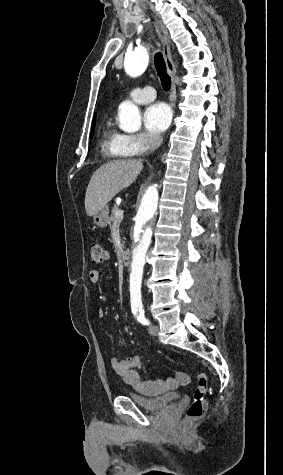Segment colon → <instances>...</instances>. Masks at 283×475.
<instances>
[{
  "mask_svg": "<svg viewBox=\"0 0 283 475\" xmlns=\"http://www.w3.org/2000/svg\"><path fill=\"white\" fill-rule=\"evenodd\" d=\"M107 252L97 243H94L90 250L91 261L93 264H102L107 258ZM208 379L205 373L196 374V388L193 399L189 405L186 416L190 420H197L204 414L206 407V395L208 393Z\"/></svg>",
  "mask_w": 283,
  "mask_h": 475,
  "instance_id": "1",
  "label": "colon"
}]
</instances>
